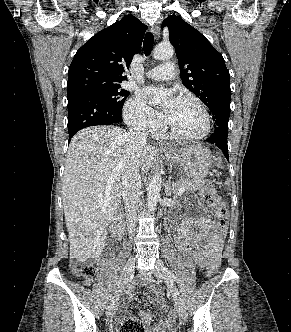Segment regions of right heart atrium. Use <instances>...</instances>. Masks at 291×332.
<instances>
[{"mask_svg": "<svg viewBox=\"0 0 291 332\" xmlns=\"http://www.w3.org/2000/svg\"><path fill=\"white\" fill-rule=\"evenodd\" d=\"M124 116L130 126L144 132H155L160 126L150 109L138 96L128 100L124 108Z\"/></svg>", "mask_w": 291, "mask_h": 332, "instance_id": "right-heart-atrium-1", "label": "right heart atrium"}]
</instances>
